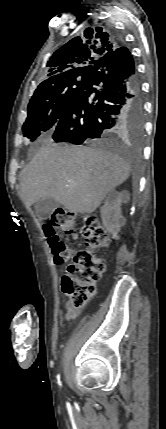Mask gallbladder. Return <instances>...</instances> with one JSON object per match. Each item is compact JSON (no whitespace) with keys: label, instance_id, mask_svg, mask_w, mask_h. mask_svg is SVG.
<instances>
[{"label":"gallbladder","instance_id":"bac80fb5","mask_svg":"<svg viewBox=\"0 0 166 429\" xmlns=\"http://www.w3.org/2000/svg\"><path fill=\"white\" fill-rule=\"evenodd\" d=\"M60 206V203L53 198L41 199L35 204V212L39 219H47L52 212Z\"/></svg>","mask_w":166,"mask_h":429}]
</instances>
